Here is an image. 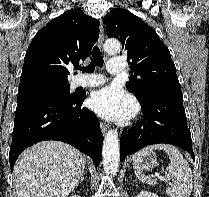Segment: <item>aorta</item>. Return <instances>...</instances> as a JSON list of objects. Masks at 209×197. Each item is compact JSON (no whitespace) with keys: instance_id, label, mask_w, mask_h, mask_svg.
Wrapping results in <instances>:
<instances>
[{"instance_id":"762f6f07","label":"aorta","mask_w":209,"mask_h":197,"mask_svg":"<svg viewBox=\"0 0 209 197\" xmlns=\"http://www.w3.org/2000/svg\"><path fill=\"white\" fill-rule=\"evenodd\" d=\"M120 42L116 39L106 40L104 44V50L108 54H116L120 51ZM102 158H103V169L107 175H116L119 166L120 159V148L118 132L111 129L107 132L103 148H102Z\"/></svg>"}]
</instances>
